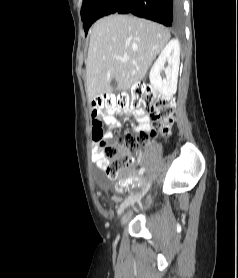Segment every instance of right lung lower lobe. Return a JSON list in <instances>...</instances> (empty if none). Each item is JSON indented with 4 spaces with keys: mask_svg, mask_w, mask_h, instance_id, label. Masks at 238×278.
<instances>
[{
    "mask_svg": "<svg viewBox=\"0 0 238 278\" xmlns=\"http://www.w3.org/2000/svg\"><path fill=\"white\" fill-rule=\"evenodd\" d=\"M182 0H99L87 13V32L97 19L112 13H132L138 17L178 28L182 24Z\"/></svg>",
    "mask_w": 238,
    "mask_h": 278,
    "instance_id": "98d812e1",
    "label": "right lung lower lobe"
}]
</instances>
